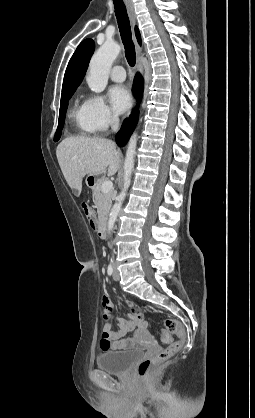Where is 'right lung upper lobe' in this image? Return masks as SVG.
<instances>
[{
  "instance_id": "right-lung-upper-lobe-1",
  "label": "right lung upper lobe",
  "mask_w": 255,
  "mask_h": 418,
  "mask_svg": "<svg viewBox=\"0 0 255 418\" xmlns=\"http://www.w3.org/2000/svg\"><path fill=\"white\" fill-rule=\"evenodd\" d=\"M135 34L139 44H141V37L137 27H135ZM95 44L92 39L82 41L73 56L71 57L63 80L62 93L76 88L82 82L86 73L89 60L94 52Z\"/></svg>"
}]
</instances>
